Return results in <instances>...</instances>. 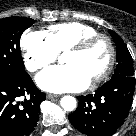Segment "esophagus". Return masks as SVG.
I'll use <instances>...</instances> for the list:
<instances>
[{
    "mask_svg": "<svg viewBox=\"0 0 136 136\" xmlns=\"http://www.w3.org/2000/svg\"><path fill=\"white\" fill-rule=\"evenodd\" d=\"M57 97H59V95H57V94H51V93L47 94L48 99H53V98H57Z\"/></svg>",
    "mask_w": 136,
    "mask_h": 136,
    "instance_id": "34e87169",
    "label": "esophagus"
}]
</instances>
